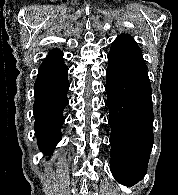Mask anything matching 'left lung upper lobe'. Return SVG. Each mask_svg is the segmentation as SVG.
Returning a JSON list of instances; mask_svg holds the SVG:
<instances>
[{"label":"left lung upper lobe","instance_id":"5c2ea615","mask_svg":"<svg viewBox=\"0 0 178 195\" xmlns=\"http://www.w3.org/2000/svg\"><path fill=\"white\" fill-rule=\"evenodd\" d=\"M111 52H116L143 60L141 49L138 47L134 39L129 35L122 34L118 36L111 45Z\"/></svg>","mask_w":178,"mask_h":195}]
</instances>
